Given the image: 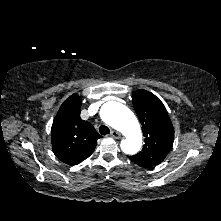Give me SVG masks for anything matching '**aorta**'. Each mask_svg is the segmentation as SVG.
Returning <instances> with one entry per match:
<instances>
[{"label": "aorta", "mask_w": 221, "mask_h": 221, "mask_svg": "<svg viewBox=\"0 0 221 221\" xmlns=\"http://www.w3.org/2000/svg\"><path fill=\"white\" fill-rule=\"evenodd\" d=\"M101 117L105 123L119 130L125 136L121 141L124 153L136 154L142 145V134L139 122L134 113L119 102L110 101L103 105Z\"/></svg>", "instance_id": "762f6f07"}]
</instances>
